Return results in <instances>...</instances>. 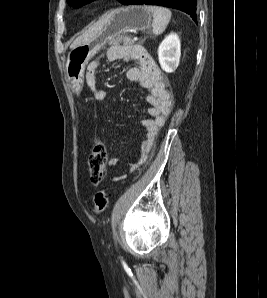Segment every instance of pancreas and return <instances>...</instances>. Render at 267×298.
I'll return each instance as SVG.
<instances>
[{"instance_id":"1","label":"pancreas","mask_w":267,"mask_h":298,"mask_svg":"<svg viewBox=\"0 0 267 298\" xmlns=\"http://www.w3.org/2000/svg\"><path fill=\"white\" fill-rule=\"evenodd\" d=\"M116 43H123L125 46L132 45L134 43V40L131 36H118L116 39L112 41V44Z\"/></svg>"}]
</instances>
